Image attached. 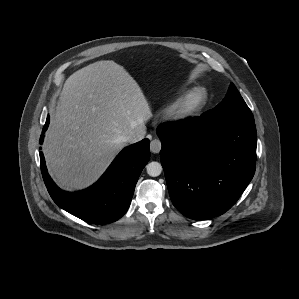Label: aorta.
Listing matches in <instances>:
<instances>
[{
    "label": "aorta",
    "instance_id": "aorta-1",
    "mask_svg": "<svg viewBox=\"0 0 299 299\" xmlns=\"http://www.w3.org/2000/svg\"><path fill=\"white\" fill-rule=\"evenodd\" d=\"M146 168H147L148 175L152 177H157L162 172V166L158 162H150Z\"/></svg>",
    "mask_w": 299,
    "mask_h": 299
}]
</instances>
